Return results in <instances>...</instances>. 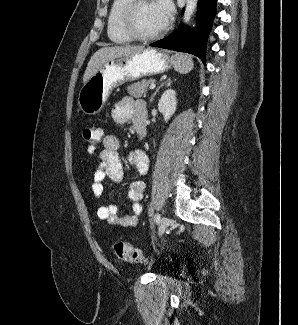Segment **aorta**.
I'll return each instance as SVG.
<instances>
[{
	"label": "aorta",
	"instance_id": "obj_1",
	"mask_svg": "<svg viewBox=\"0 0 298 325\" xmlns=\"http://www.w3.org/2000/svg\"><path fill=\"white\" fill-rule=\"evenodd\" d=\"M197 2L198 0H186V4L182 16L183 24H188L190 18H192L196 10Z\"/></svg>",
	"mask_w": 298,
	"mask_h": 325
}]
</instances>
